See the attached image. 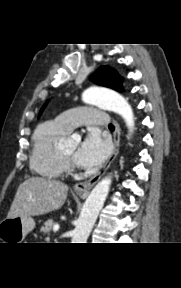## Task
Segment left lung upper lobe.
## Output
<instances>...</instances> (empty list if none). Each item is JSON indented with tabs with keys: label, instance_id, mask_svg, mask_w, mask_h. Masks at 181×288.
<instances>
[{
	"label": "left lung upper lobe",
	"instance_id": "left-lung-upper-lobe-1",
	"mask_svg": "<svg viewBox=\"0 0 181 288\" xmlns=\"http://www.w3.org/2000/svg\"><path fill=\"white\" fill-rule=\"evenodd\" d=\"M91 79L96 84L104 87H108L119 92L123 91L122 78L113 68L109 66L99 67V69L92 75ZM44 106L42 110L44 109ZM42 110L40 114L42 113Z\"/></svg>",
	"mask_w": 181,
	"mask_h": 288
}]
</instances>
